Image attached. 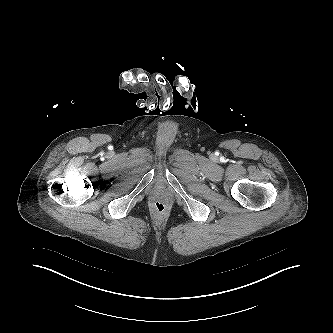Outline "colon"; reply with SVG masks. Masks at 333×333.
<instances>
[{"label": "colon", "instance_id": "obj_1", "mask_svg": "<svg viewBox=\"0 0 333 333\" xmlns=\"http://www.w3.org/2000/svg\"><path fill=\"white\" fill-rule=\"evenodd\" d=\"M153 207H154V210L160 214L164 213L167 209L166 204L162 200L155 201L153 204Z\"/></svg>", "mask_w": 333, "mask_h": 333}]
</instances>
